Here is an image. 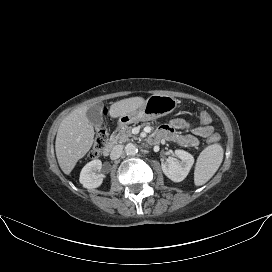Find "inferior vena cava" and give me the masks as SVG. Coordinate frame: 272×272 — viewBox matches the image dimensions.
Returning <instances> with one entry per match:
<instances>
[{"label":"inferior vena cava","instance_id":"1","mask_svg":"<svg viewBox=\"0 0 272 272\" xmlns=\"http://www.w3.org/2000/svg\"><path fill=\"white\" fill-rule=\"evenodd\" d=\"M122 151H123V145L114 146L111 153H110L111 160L118 159L121 156Z\"/></svg>","mask_w":272,"mask_h":272}]
</instances>
